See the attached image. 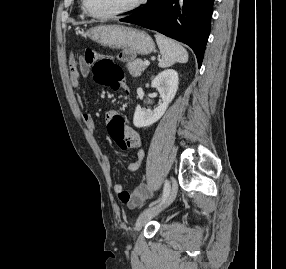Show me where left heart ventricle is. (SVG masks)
<instances>
[{
  "label": "left heart ventricle",
  "mask_w": 286,
  "mask_h": 269,
  "mask_svg": "<svg viewBox=\"0 0 286 269\" xmlns=\"http://www.w3.org/2000/svg\"><path fill=\"white\" fill-rule=\"evenodd\" d=\"M134 0H88L90 10L95 14H108L129 6Z\"/></svg>",
  "instance_id": "b2bd125f"
}]
</instances>
